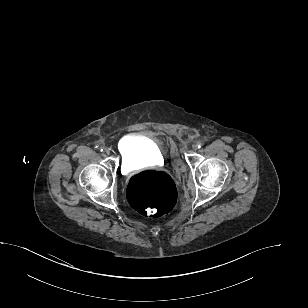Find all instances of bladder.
<instances>
[{
    "label": "bladder",
    "instance_id": "obj_1",
    "mask_svg": "<svg viewBox=\"0 0 308 308\" xmlns=\"http://www.w3.org/2000/svg\"><path fill=\"white\" fill-rule=\"evenodd\" d=\"M118 150L122 165L128 168L156 165L163 161V153L159 144L141 133L127 135L120 142Z\"/></svg>",
    "mask_w": 308,
    "mask_h": 308
}]
</instances>
